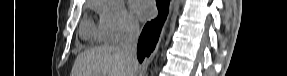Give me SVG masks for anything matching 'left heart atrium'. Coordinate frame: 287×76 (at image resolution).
I'll list each match as a JSON object with an SVG mask.
<instances>
[{
    "label": "left heart atrium",
    "instance_id": "left-heart-atrium-1",
    "mask_svg": "<svg viewBox=\"0 0 287 76\" xmlns=\"http://www.w3.org/2000/svg\"><path fill=\"white\" fill-rule=\"evenodd\" d=\"M131 6L142 20L149 19L155 14L154 4L150 0H134L131 2Z\"/></svg>",
    "mask_w": 287,
    "mask_h": 76
}]
</instances>
